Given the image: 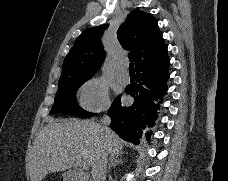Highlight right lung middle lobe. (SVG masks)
Masks as SVG:
<instances>
[{"mask_svg": "<svg viewBox=\"0 0 228 181\" xmlns=\"http://www.w3.org/2000/svg\"><path fill=\"white\" fill-rule=\"evenodd\" d=\"M85 81L86 80L59 83L50 114L64 112L79 118H90L94 116L95 113L83 110L76 100V92Z\"/></svg>", "mask_w": 228, "mask_h": 181, "instance_id": "obj_1", "label": "right lung middle lobe"}]
</instances>
